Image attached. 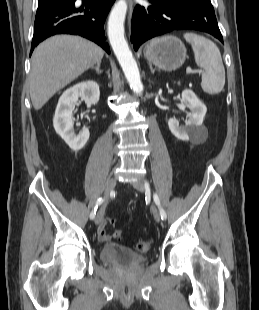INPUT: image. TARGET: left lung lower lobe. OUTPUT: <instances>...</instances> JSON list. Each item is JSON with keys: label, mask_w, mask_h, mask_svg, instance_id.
<instances>
[{"label": "left lung lower lobe", "mask_w": 259, "mask_h": 310, "mask_svg": "<svg viewBox=\"0 0 259 310\" xmlns=\"http://www.w3.org/2000/svg\"><path fill=\"white\" fill-rule=\"evenodd\" d=\"M149 2V7L137 5L133 12L131 42L136 51L148 39L172 30H199L223 42L210 0Z\"/></svg>", "instance_id": "0a47b994"}]
</instances>
